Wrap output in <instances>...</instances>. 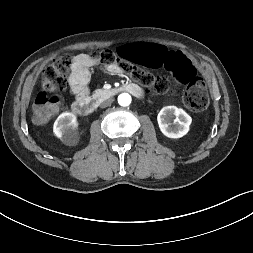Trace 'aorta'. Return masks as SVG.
Masks as SVG:
<instances>
[{"label": "aorta", "mask_w": 253, "mask_h": 253, "mask_svg": "<svg viewBox=\"0 0 253 253\" xmlns=\"http://www.w3.org/2000/svg\"><path fill=\"white\" fill-rule=\"evenodd\" d=\"M118 103L121 106H129L131 103V96L128 93H122L118 96Z\"/></svg>", "instance_id": "aorta-1"}]
</instances>
